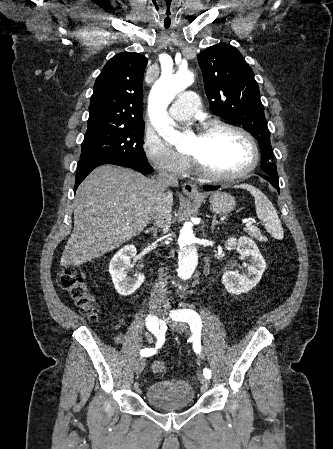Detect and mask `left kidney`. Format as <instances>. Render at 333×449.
<instances>
[{"mask_svg":"<svg viewBox=\"0 0 333 449\" xmlns=\"http://www.w3.org/2000/svg\"><path fill=\"white\" fill-rule=\"evenodd\" d=\"M226 245L228 247L236 246L241 258H250L251 264L247 266L246 275L238 274L235 271H226L222 276V283L232 294L247 293L260 281L266 268V262L256 243L246 236H242L238 240L230 238Z\"/></svg>","mask_w":333,"mask_h":449,"instance_id":"left-kidney-1","label":"left kidney"}]
</instances>
